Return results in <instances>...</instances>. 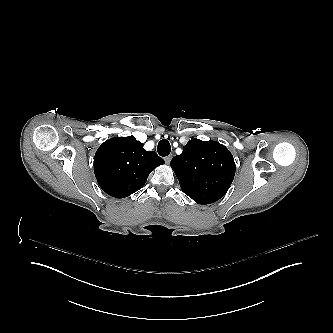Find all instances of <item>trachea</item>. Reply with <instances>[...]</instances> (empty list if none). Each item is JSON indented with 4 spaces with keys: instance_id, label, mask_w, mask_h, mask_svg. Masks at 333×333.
<instances>
[{
    "instance_id": "1",
    "label": "trachea",
    "mask_w": 333,
    "mask_h": 333,
    "mask_svg": "<svg viewBox=\"0 0 333 333\" xmlns=\"http://www.w3.org/2000/svg\"><path fill=\"white\" fill-rule=\"evenodd\" d=\"M157 151L160 156L166 157L171 151L170 143L167 140H161L158 144Z\"/></svg>"
}]
</instances>
